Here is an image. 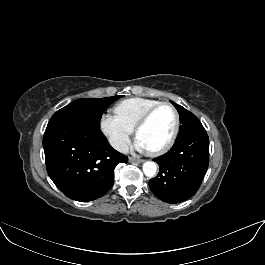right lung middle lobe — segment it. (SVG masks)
<instances>
[{
    "label": "right lung middle lobe",
    "instance_id": "1",
    "mask_svg": "<svg viewBox=\"0 0 265 265\" xmlns=\"http://www.w3.org/2000/svg\"><path fill=\"white\" fill-rule=\"evenodd\" d=\"M121 95L106 98L78 99L58 110L50 119L54 121H74L100 129V119L105 109Z\"/></svg>",
    "mask_w": 265,
    "mask_h": 265
}]
</instances>
